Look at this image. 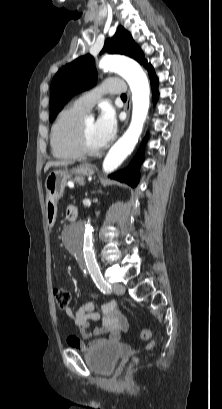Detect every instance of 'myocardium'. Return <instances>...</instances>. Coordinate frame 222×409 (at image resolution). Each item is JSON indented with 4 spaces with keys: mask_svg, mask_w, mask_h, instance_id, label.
Here are the masks:
<instances>
[{
    "mask_svg": "<svg viewBox=\"0 0 222 409\" xmlns=\"http://www.w3.org/2000/svg\"><path fill=\"white\" fill-rule=\"evenodd\" d=\"M75 146L81 155L97 156L102 152V147L99 149H91L86 143L84 120H80L75 133Z\"/></svg>",
    "mask_w": 222,
    "mask_h": 409,
    "instance_id": "obj_1",
    "label": "myocardium"
}]
</instances>
